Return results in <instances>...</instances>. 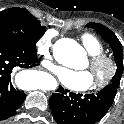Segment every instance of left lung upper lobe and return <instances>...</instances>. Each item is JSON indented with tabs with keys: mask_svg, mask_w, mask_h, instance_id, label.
<instances>
[{
	"mask_svg": "<svg viewBox=\"0 0 124 124\" xmlns=\"http://www.w3.org/2000/svg\"><path fill=\"white\" fill-rule=\"evenodd\" d=\"M89 28L95 29L99 35L110 45L113 51L114 60L117 65V71L112 78L109 86L118 88L120 80L123 73V55H122V45L116 35L106 26L99 23H89L87 24Z\"/></svg>",
	"mask_w": 124,
	"mask_h": 124,
	"instance_id": "1",
	"label": "left lung upper lobe"
}]
</instances>
